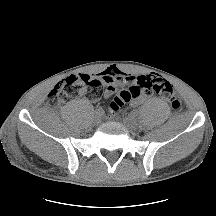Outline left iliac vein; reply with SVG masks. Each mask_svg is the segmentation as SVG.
<instances>
[{
  "label": "left iliac vein",
  "instance_id": "4c4485c4",
  "mask_svg": "<svg viewBox=\"0 0 216 216\" xmlns=\"http://www.w3.org/2000/svg\"><path fill=\"white\" fill-rule=\"evenodd\" d=\"M124 124L126 125V127L128 129H130L131 131L136 130L137 126H138V122L137 119L135 118L134 115H129L127 117H125L123 119Z\"/></svg>",
  "mask_w": 216,
  "mask_h": 216
}]
</instances>
